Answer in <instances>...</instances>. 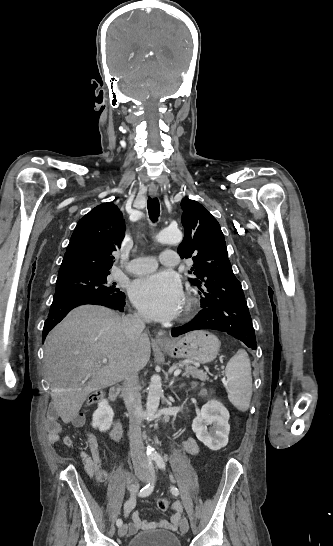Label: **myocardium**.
<instances>
[{"label":"myocardium","mask_w":333,"mask_h":546,"mask_svg":"<svg viewBox=\"0 0 333 546\" xmlns=\"http://www.w3.org/2000/svg\"><path fill=\"white\" fill-rule=\"evenodd\" d=\"M195 308V300L191 296H187L184 301L182 311L180 313V319L185 320L188 318Z\"/></svg>","instance_id":"obj_1"}]
</instances>
